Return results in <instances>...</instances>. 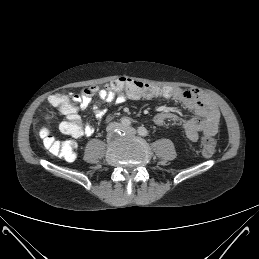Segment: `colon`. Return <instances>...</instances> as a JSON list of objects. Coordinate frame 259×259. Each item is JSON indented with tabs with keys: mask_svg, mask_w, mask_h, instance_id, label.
<instances>
[{
	"mask_svg": "<svg viewBox=\"0 0 259 259\" xmlns=\"http://www.w3.org/2000/svg\"><path fill=\"white\" fill-rule=\"evenodd\" d=\"M108 89L114 92H127L137 97H154L158 93V87L150 85L132 78L121 77L111 81L107 85ZM57 106H62L66 100L58 95L53 99ZM82 123L80 118L74 117L66 119L61 123L60 129L63 133L77 138L80 135ZM40 136L43 140L46 149L53 155L64 158L67 161H74L76 158L77 143L73 139L58 141L51 136L49 131L43 128L40 131ZM202 153L206 157H211L215 153V141L211 137H205L201 144Z\"/></svg>",
	"mask_w": 259,
	"mask_h": 259,
	"instance_id": "colon-1",
	"label": "colon"
}]
</instances>
